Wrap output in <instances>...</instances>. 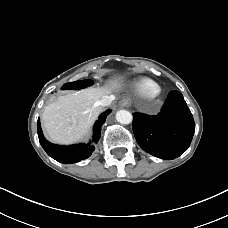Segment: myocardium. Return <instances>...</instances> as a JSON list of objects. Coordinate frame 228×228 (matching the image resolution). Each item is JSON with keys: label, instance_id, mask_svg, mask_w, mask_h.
Here are the masks:
<instances>
[{"label": "myocardium", "instance_id": "myocardium-1", "mask_svg": "<svg viewBox=\"0 0 228 228\" xmlns=\"http://www.w3.org/2000/svg\"><path fill=\"white\" fill-rule=\"evenodd\" d=\"M151 98L153 100H155L157 103H159L162 99V92L161 90H157L155 93H153V95L151 96Z\"/></svg>", "mask_w": 228, "mask_h": 228}]
</instances>
